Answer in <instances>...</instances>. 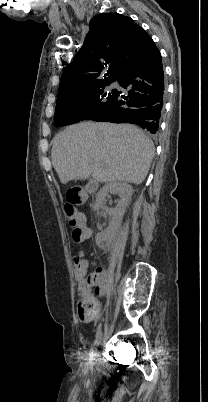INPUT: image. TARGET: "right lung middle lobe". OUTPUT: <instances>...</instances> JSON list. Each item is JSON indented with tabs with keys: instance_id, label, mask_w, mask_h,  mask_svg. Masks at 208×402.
Returning a JSON list of instances; mask_svg holds the SVG:
<instances>
[{
	"instance_id": "obj_1",
	"label": "right lung middle lobe",
	"mask_w": 208,
	"mask_h": 402,
	"mask_svg": "<svg viewBox=\"0 0 208 402\" xmlns=\"http://www.w3.org/2000/svg\"><path fill=\"white\" fill-rule=\"evenodd\" d=\"M115 81L101 79L58 93L54 125H70L91 119L97 112L110 110L116 99V90L105 86Z\"/></svg>"
}]
</instances>
